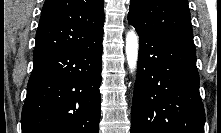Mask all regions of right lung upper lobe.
Masks as SVG:
<instances>
[{
    "instance_id": "1",
    "label": "right lung upper lobe",
    "mask_w": 221,
    "mask_h": 133,
    "mask_svg": "<svg viewBox=\"0 0 221 133\" xmlns=\"http://www.w3.org/2000/svg\"><path fill=\"white\" fill-rule=\"evenodd\" d=\"M103 0H46L34 54L78 47L103 31Z\"/></svg>"
}]
</instances>
